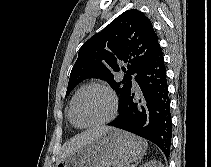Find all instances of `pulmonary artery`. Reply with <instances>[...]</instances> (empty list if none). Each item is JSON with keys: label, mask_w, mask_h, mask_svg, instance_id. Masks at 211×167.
Wrapping results in <instances>:
<instances>
[{"label": "pulmonary artery", "mask_w": 211, "mask_h": 167, "mask_svg": "<svg viewBox=\"0 0 211 167\" xmlns=\"http://www.w3.org/2000/svg\"><path fill=\"white\" fill-rule=\"evenodd\" d=\"M133 83H134V85H136V82L135 81H133Z\"/></svg>", "instance_id": "obj_1"}]
</instances>
